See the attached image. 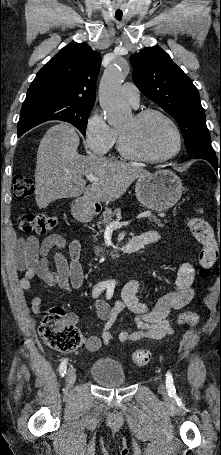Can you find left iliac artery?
I'll return each mask as SVG.
<instances>
[{"label":"left iliac artery","mask_w":221,"mask_h":455,"mask_svg":"<svg viewBox=\"0 0 221 455\" xmlns=\"http://www.w3.org/2000/svg\"><path fill=\"white\" fill-rule=\"evenodd\" d=\"M113 292H114V288L109 286L108 290H107V294H106L108 299L111 298V296L113 295ZM166 387L168 390L175 389L174 383H173V377L170 372H167V374H166Z\"/></svg>","instance_id":"obj_1"}]
</instances>
